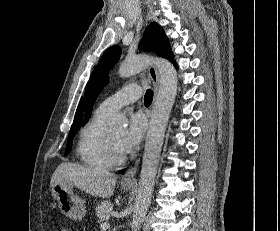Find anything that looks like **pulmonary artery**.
I'll list each match as a JSON object with an SVG mask.
<instances>
[{"label": "pulmonary artery", "mask_w": 280, "mask_h": 231, "mask_svg": "<svg viewBox=\"0 0 280 231\" xmlns=\"http://www.w3.org/2000/svg\"><path fill=\"white\" fill-rule=\"evenodd\" d=\"M142 94V89L136 84H131L105 99L100 103L97 110L104 113H113L123 106L136 102Z\"/></svg>", "instance_id": "e3ab8cb5"}]
</instances>
